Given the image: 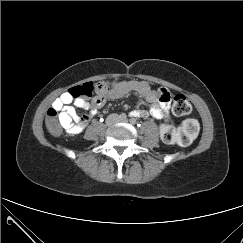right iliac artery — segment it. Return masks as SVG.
Returning <instances> with one entry per match:
<instances>
[{
  "label": "right iliac artery",
  "instance_id": "right-iliac-artery-1",
  "mask_svg": "<svg viewBox=\"0 0 243 243\" xmlns=\"http://www.w3.org/2000/svg\"><path fill=\"white\" fill-rule=\"evenodd\" d=\"M119 117H120V119H126L127 115L125 113H121Z\"/></svg>",
  "mask_w": 243,
  "mask_h": 243
}]
</instances>
